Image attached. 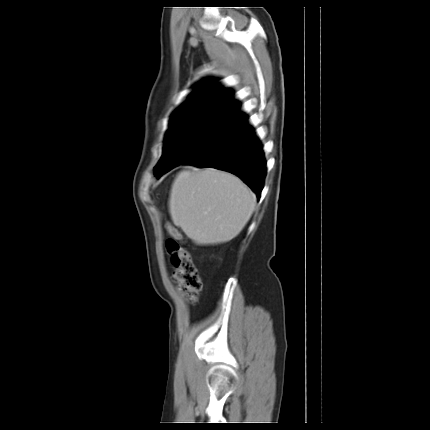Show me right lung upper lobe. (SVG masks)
I'll return each mask as SVG.
<instances>
[{
  "label": "right lung upper lobe",
  "instance_id": "right-lung-upper-lobe-1",
  "mask_svg": "<svg viewBox=\"0 0 430 430\" xmlns=\"http://www.w3.org/2000/svg\"><path fill=\"white\" fill-rule=\"evenodd\" d=\"M213 82L206 80L198 84L196 90L178 110L197 108L208 104H220L231 107L238 115L243 117V113L239 111L237 102L232 99V93L229 90L218 87Z\"/></svg>",
  "mask_w": 430,
  "mask_h": 430
}]
</instances>
